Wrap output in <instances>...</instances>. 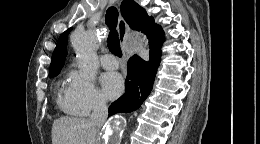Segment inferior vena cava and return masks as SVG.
Instances as JSON below:
<instances>
[{
    "label": "inferior vena cava",
    "mask_w": 260,
    "mask_h": 144,
    "mask_svg": "<svg viewBox=\"0 0 260 144\" xmlns=\"http://www.w3.org/2000/svg\"><path fill=\"white\" fill-rule=\"evenodd\" d=\"M108 117V107L106 101L103 99H98L94 105L93 112L90 116V123L100 128L106 121Z\"/></svg>",
    "instance_id": "obj_1"
}]
</instances>
